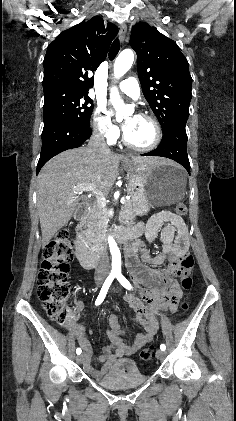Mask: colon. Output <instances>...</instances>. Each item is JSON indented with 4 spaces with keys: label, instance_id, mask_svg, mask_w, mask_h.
Here are the masks:
<instances>
[{
    "label": "colon",
    "instance_id": "5ec220e1",
    "mask_svg": "<svg viewBox=\"0 0 236 421\" xmlns=\"http://www.w3.org/2000/svg\"><path fill=\"white\" fill-rule=\"evenodd\" d=\"M179 215H186L187 207L184 203L176 205ZM73 259L72 243L69 231L62 229L56 233L47 244L43 254V260L38 273V297L46 314L60 325H67L77 317V312L67 305V297L70 292L68 273L70 262ZM194 267V257L185 253L179 261L178 276L183 289L189 290L192 286L191 272ZM186 310L187 303L182 305ZM153 350L145 348L140 356L148 361L153 358Z\"/></svg>",
    "mask_w": 236,
    "mask_h": 421
}]
</instances>
